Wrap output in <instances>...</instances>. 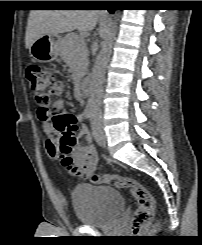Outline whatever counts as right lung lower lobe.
<instances>
[{"label": "right lung lower lobe", "mask_w": 202, "mask_h": 245, "mask_svg": "<svg viewBox=\"0 0 202 245\" xmlns=\"http://www.w3.org/2000/svg\"><path fill=\"white\" fill-rule=\"evenodd\" d=\"M109 9H108V11L110 12V13H113L114 12V9L112 8V5H109Z\"/></svg>", "instance_id": "obj_1"}]
</instances>
